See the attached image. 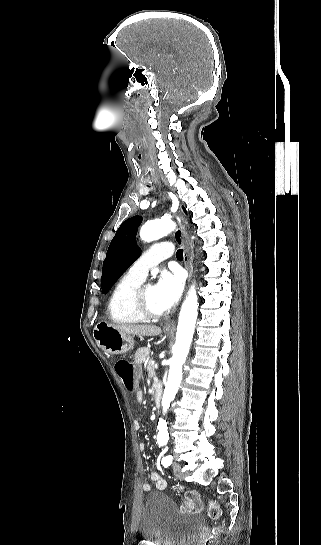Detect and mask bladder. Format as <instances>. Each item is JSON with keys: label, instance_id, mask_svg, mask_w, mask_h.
Returning a JSON list of instances; mask_svg holds the SVG:
<instances>
[{"label": "bladder", "instance_id": "1", "mask_svg": "<svg viewBox=\"0 0 321 545\" xmlns=\"http://www.w3.org/2000/svg\"><path fill=\"white\" fill-rule=\"evenodd\" d=\"M203 523L201 515L182 513L167 495L152 492L142 509L140 533L157 545H189Z\"/></svg>", "mask_w": 321, "mask_h": 545}]
</instances>
